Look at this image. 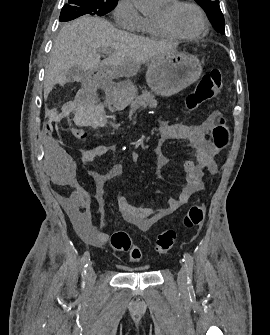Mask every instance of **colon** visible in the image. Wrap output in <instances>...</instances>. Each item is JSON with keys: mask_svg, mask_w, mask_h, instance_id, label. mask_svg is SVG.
I'll list each match as a JSON object with an SVG mask.
<instances>
[{"mask_svg": "<svg viewBox=\"0 0 270 335\" xmlns=\"http://www.w3.org/2000/svg\"><path fill=\"white\" fill-rule=\"evenodd\" d=\"M222 85V70L214 68L201 77L200 81L185 99L182 109L188 111L196 110L203 103L211 100L220 90ZM76 139L84 141L88 138V132L85 129L77 128L73 131ZM213 142L217 150H224L229 144V130L224 117L220 118L218 124L212 130ZM204 220V206L197 202L192 204L183 217V225L186 228L200 227ZM177 239V232L171 229L164 230L157 237L154 250L159 254L170 251ZM110 247L117 252H126L132 262L142 260L143 252L139 247L133 245L129 234L124 230H117L110 239Z\"/></svg>", "mask_w": 270, "mask_h": 335, "instance_id": "1", "label": "colon"}]
</instances>
